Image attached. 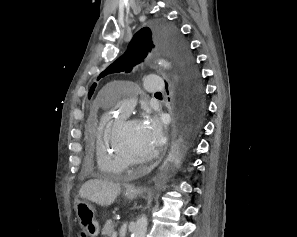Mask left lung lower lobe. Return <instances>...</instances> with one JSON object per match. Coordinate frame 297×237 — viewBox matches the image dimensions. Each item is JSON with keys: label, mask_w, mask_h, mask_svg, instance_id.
<instances>
[{"label": "left lung lower lobe", "mask_w": 297, "mask_h": 237, "mask_svg": "<svg viewBox=\"0 0 297 237\" xmlns=\"http://www.w3.org/2000/svg\"><path fill=\"white\" fill-rule=\"evenodd\" d=\"M178 111L182 127L174 145V156L179 157L183 150L191 145L195 133L200 129L205 113V105H197L191 98L181 95L178 101Z\"/></svg>", "instance_id": "obj_1"}]
</instances>
